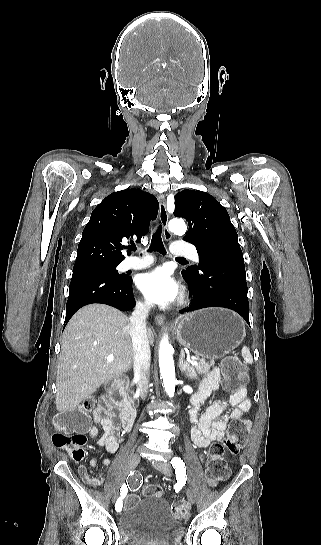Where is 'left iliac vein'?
Here are the masks:
<instances>
[{"label":"left iliac vein","mask_w":321,"mask_h":545,"mask_svg":"<svg viewBox=\"0 0 321 545\" xmlns=\"http://www.w3.org/2000/svg\"><path fill=\"white\" fill-rule=\"evenodd\" d=\"M153 466L159 470L160 472H162L163 474H165L166 476H172V467L169 463H167L166 461H157V462H154L153 463ZM186 495H187V498L188 500L191 502V503H194L195 502V496H194V493L192 492L191 489L189 488H186Z\"/></svg>","instance_id":"4c4485c4"}]
</instances>
